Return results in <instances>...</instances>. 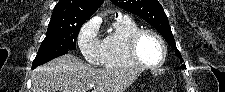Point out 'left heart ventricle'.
Wrapping results in <instances>:
<instances>
[{
  "mask_svg": "<svg viewBox=\"0 0 225 92\" xmlns=\"http://www.w3.org/2000/svg\"><path fill=\"white\" fill-rule=\"evenodd\" d=\"M139 54L142 60L148 64H156L162 58V47L151 35H144L138 45Z\"/></svg>",
  "mask_w": 225,
  "mask_h": 92,
  "instance_id": "b2bd125f",
  "label": "left heart ventricle"
}]
</instances>
